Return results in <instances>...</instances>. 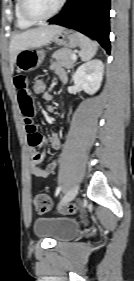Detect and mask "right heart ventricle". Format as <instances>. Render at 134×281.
Instances as JSON below:
<instances>
[{
    "label": "right heart ventricle",
    "mask_w": 134,
    "mask_h": 281,
    "mask_svg": "<svg viewBox=\"0 0 134 281\" xmlns=\"http://www.w3.org/2000/svg\"><path fill=\"white\" fill-rule=\"evenodd\" d=\"M14 15H15L16 26L19 29H28L34 25V22L27 20L23 16L20 8V0H15L14 2Z\"/></svg>",
    "instance_id": "right-heart-ventricle-1"
}]
</instances>
